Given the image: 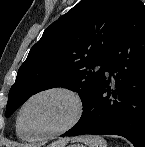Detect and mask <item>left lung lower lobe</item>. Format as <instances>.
I'll return each instance as SVG.
<instances>
[{
	"label": "left lung lower lobe",
	"instance_id": "1",
	"mask_svg": "<svg viewBox=\"0 0 145 147\" xmlns=\"http://www.w3.org/2000/svg\"><path fill=\"white\" fill-rule=\"evenodd\" d=\"M81 134L120 135L145 147V5L140 0L129 4L88 108L63 136Z\"/></svg>",
	"mask_w": 145,
	"mask_h": 147
}]
</instances>
